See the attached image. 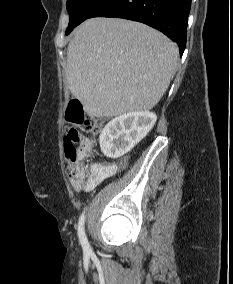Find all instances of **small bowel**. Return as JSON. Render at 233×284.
Returning a JSON list of instances; mask_svg holds the SVG:
<instances>
[{"label":"small bowel","mask_w":233,"mask_h":284,"mask_svg":"<svg viewBox=\"0 0 233 284\" xmlns=\"http://www.w3.org/2000/svg\"><path fill=\"white\" fill-rule=\"evenodd\" d=\"M127 164L126 158H121L114 162L93 163L87 170L90 188L102 183L104 180L115 175Z\"/></svg>","instance_id":"c3829d8e"}]
</instances>
